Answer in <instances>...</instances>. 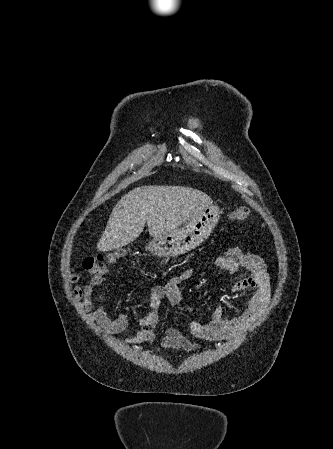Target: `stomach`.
<instances>
[{
  "label": "stomach",
  "mask_w": 333,
  "mask_h": 449,
  "mask_svg": "<svg viewBox=\"0 0 333 449\" xmlns=\"http://www.w3.org/2000/svg\"><path fill=\"white\" fill-rule=\"evenodd\" d=\"M221 213L217 205H209L181 228L153 238L147 249L157 256H177L187 253L210 236L219 222Z\"/></svg>",
  "instance_id": "1"
}]
</instances>
